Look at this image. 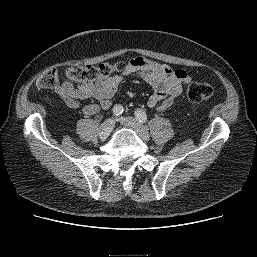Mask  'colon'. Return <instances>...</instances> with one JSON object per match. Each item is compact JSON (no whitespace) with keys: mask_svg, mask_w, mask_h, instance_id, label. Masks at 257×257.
<instances>
[{"mask_svg":"<svg viewBox=\"0 0 257 257\" xmlns=\"http://www.w3.org/2000/svg\"><path fill=\"white\" fill-rule=\"evenodd\" d=\"M126 68L123 62L101 63L98 65H84L69 67L64 75L68 80L82 85H93L105 80L113 73H122ZM59 74L56 69L45 71L39 78L37 85L40 89H53L58 86ZM213 95V88L206 82H193L186 90L187 99L192 103L209 100Z\"/></svg>","mask_w":257,"mask_h":257,"instance_id":"5ec220e1","label":"colon"}]
</instances>
